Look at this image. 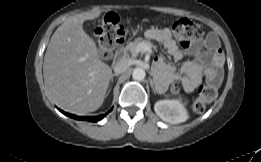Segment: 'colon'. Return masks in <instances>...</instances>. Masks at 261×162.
Returning a JSON list of instances; mask_svg holds the SVG:
<instances>
[{
  "mask_svg": "<svg viewBox=\"0 0 261 162\" xmlns=\"http://www.w3.org/2000/svg\"><path fill=\"white\" fill-rule=\"evenodd\" d=\"M124 28L120 23L119 17L114 13L107 14L99 22L95 29V34L99 45V55L103 59H110L113 49L117 43L124 39ZM172 33L175 39L183 46L189 45L193 40L199 39L203 34L202 27L187 18H179L172 25ZM180 88L177 84L171 86V93L177 95ZM216 97V86L207 83L200 87L199 95L193 102V110L196 113L204 112L206 105Z\"/></svg>",
  "mask_w": 261,
  "mask_h": 162,
  "instance_id": "5ec220e1",
  "label": "colon"
}]
</instances>
